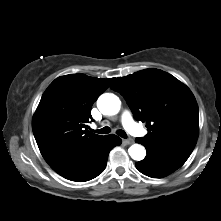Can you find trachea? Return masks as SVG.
Returning <instances> with one entry per match:
<instances>
[{"instance_id":"trachea-1","label":"trachea","mask_w":221,"mask_h":221,"mask_svg":"<svg viewBox=\"0 0 221 221\" xmlns=\"http://www.w3.org/2000/svg\"><path fill=\"white\" fill-rule=\"evenodd\" d=\"M110 131H111L110 128L107 126L102 129H99V130H94V132L99 133V134H108V133H110ZM117 134L122 138L127 137L125 131H123V130H118Z\"/></svg>"}]
</instances>
